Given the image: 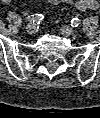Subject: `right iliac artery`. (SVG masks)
I'll list each match as a JSON object with an SVG mask.
<instances>
[{"label":"right iliac artery","instance_id":"obj_1","mask_svg":"<svg viewBox=\"0 0 100 118\" xmlns=\"http://www.w3.org/2000/svg\"><path fill=\"white\" fill-rule=\"evenodd\" d=\"M43 18V14H34L26 17V20L33 23H40V21L43 20Z\"/></svg>","mask_w":100,"mask_h":118}]
</instances>
